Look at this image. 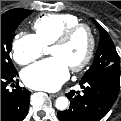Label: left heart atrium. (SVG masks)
I'll return each instance as SVG.
<instances>
[{"instance_id":"obj_1","label":"left heart atrium","mask_w":121,"mask_h":121,"mask_svg":"<svg viewBox=\"0 0 121 121\" xmlns=\"http://www.w3.org/2000/svg\"><path fill=\"white\" fill-rule=\"evenodd\" d=\"M69 66L58 56L40 61L22 72L24 83L33 89L54 91L68 78Z\"/></svg>"}]
</instances>
